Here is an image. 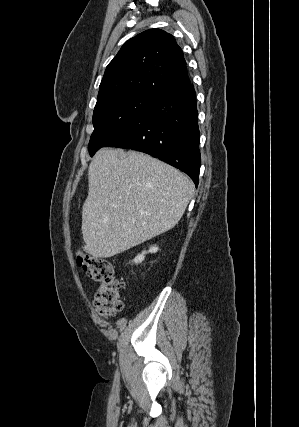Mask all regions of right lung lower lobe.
<instances>
[{
  "label": "right lung lower lobe",
  "instance_id": "obj_1",
  "mask_svg": "<svg viewBox=\"0 0 299 427\" xmlns=\"http://www.w3.org/2000/svg\"><path fill=\"white\" fill-rule=\"evenodd\" d=\"M196 94L191 83L157 98L105 147L152 155L199 182L200 151Z\"/></svg>",
  "mask_w": 299,
  "mask_h": 427
}]
</instances>
